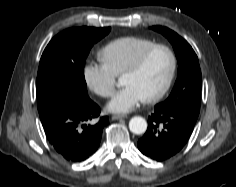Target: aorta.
Masks as SVG:
<instances>
[{
  "mask_svg": "<svg viewBox=\"0 0 236 187\" xmlns=\"http://www.w3.org/2000/svg\"><path fill=\"white\" fill-rule=\"evenodd\" d=\"M129 129L134 134H142L147 129V122L144 118L136 116L129 121Z\"/></svg>",
  "mask_w": 236,
  "mask_h": 187,
  "instance_id": "aorta-1",
  "label": "aorta"
}]
</instances>
